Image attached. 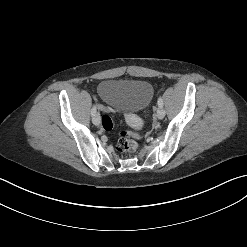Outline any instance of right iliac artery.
<instances>
[{"mask_svg": "<svg viewBox=\"0 0 247 247\" xmlns=\"http://www.w3.org/2000/svg\"><path fill=\"white\" fill-rule=\"evenodd\" d=\"M96 114V105H94L91 109V115L94 116Z\"/></svg>", "mask_w": 247, "mask_h": 247, "instance_id": "obj_1", "label": "right iliac artery"}]
</instances>
